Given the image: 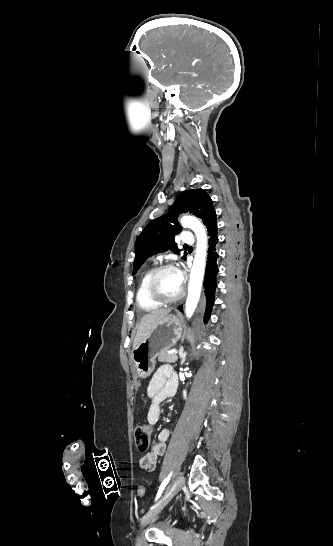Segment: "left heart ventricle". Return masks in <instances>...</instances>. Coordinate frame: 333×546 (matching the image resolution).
Here are the masks:
<instances>
[{"label":"left heart ventricle","mask_w":333,"mask_h":546,"mask_svg":"<svg viewBox=\"0 0 333 546\" xmlns=\"http://www.w3.org/2000/svg\"><path fill=\"white\" fill-rule=\"evenodd\" d=\"M156 288L158 292L165 298H172L177 296L182 285L178 282L177 274L175 270H167L162 272L156 280Z\"/></svg>","instance_id":"left-heart-ventricle-1"}]
</instances>
